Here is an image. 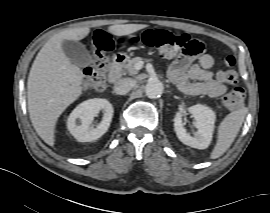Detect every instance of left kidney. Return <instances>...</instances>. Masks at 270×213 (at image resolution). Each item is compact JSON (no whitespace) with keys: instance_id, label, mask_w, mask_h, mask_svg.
<instances>
[{"instance_id":"left-kidney-1","label":"left kidney","mask_w":270,"mask_h":213,"mask_svg":"<svg viewBox=\"0 0 270 213\" xmlns=\"http://www.w3.org/2000/svg\"><path fill=\"white\" fill-rule=\"evenodd\" d=\"M195 120V126L198 131L191 136L183 126L182 112L176 113L174 118V130L178 139L185 145L197 149H206L212 140L214 123L216 119L215 112L204 105L197 104L188 108Z\"/></svg>"}]
</instances>
